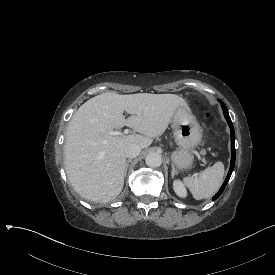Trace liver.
<instances>
[{"label": "liver", "mask_w": 275, "mask_h": 275, "mask_svg": "<svg viewBox=\"0 0 275 275\" xmlns=\"http://www.w3.org/2000/svg\"><path fill=\"white\" fill-rule=\"evenodd\" d=\"M177 105L188 108L178 95L148 93H103L81 105L70 120L64 145L65 169L76 193L93 202L118 196L124 185L125 147H148L150 137L164 131ZM124 111L130 115L125 117ZM124 126L147 136L112 135L113 129Z\"/></svg>", "instance_id": "liver-1"}]
</instances>
